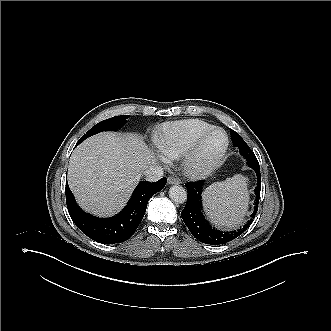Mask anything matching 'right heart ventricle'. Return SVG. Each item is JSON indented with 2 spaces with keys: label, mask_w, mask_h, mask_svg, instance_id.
Instances as JSON below:
<instances>
[{
  "label": "right heart ventricle",
  "mask_w": 331,
  "mask_h": 331,
  "mask_svg": "<svg viewBox=\"0 0 331 331\" xmlns=\"http://www.w3.org/2000/svg\"><path fill=\"white\" fill-rule=\"evenodd\" d=\"M213 126L200 119H186L166 123L161 127V135L156 141L161 155L170 158L182 156L196 138Z\"/></svg>",
  "instance_id": "right-heart-ventricle-1"
}]
</instances>
